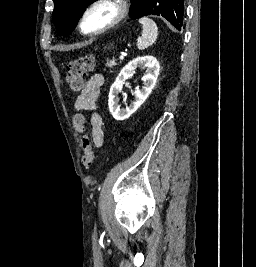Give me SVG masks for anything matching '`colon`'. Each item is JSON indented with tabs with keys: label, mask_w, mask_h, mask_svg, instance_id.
Instances as JSON below:
<instances>
[{
	"label": "colon",
	"mask_w": 256,
	"mask_h": 267,
	"mask_svg": "<svg viewBox=\"0 0 256 267\" xmlns=\"http://www.w3.org/2000/svg\"><path fill=\"white\" fill-rule=\"evenodd\" d=\"M94 63L95 61L93 57L85 56L68 61L65 64L67 71V81L70 87V91L73 95L80 93L84 89L85 77L87 73L93 68ZM73 124L75 131L82 135L81 147L83 151V164L86 168H90L94 161V151L86 135L87 119L78 108H75Z\"/></svg>",
	"instance_id": "5ec220e1"
}]
</instances>
